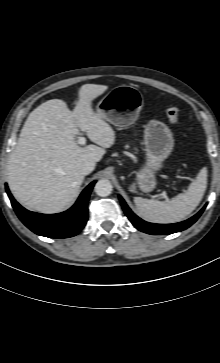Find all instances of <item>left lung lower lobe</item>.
Masks as SVG:
<instances>
[{
    "mask_svg": "<svg viewBox=\"0 0 220 363\" xmlns=\"http://www.w3.org/2000/svg\"><path fill=\"white\" fill-rule=\"evenodd\" d=\"M121 204L123 206L124 212L132 224L142 232L152 234V235H168L176 232H180L190 227L203 213L206 206H204L195 216L190 219L176 223V224H153L148 223L139 217H137L130 208L126 205L125 201L121 196H119Z\"/></svg>",
    "mask_w": 220,
    "mask_h": 363,
    "instance_id": "left-lung-lower-lobe-1",
    "label": "left lung lower lobe"
}]
</instances>
